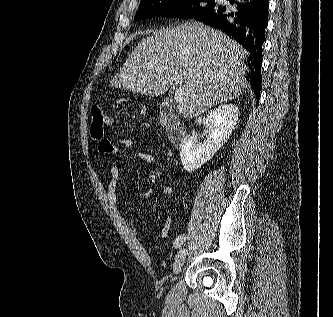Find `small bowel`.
<instances>
[{
	"mask_svg": "<svg viewBox=\"0 0 333 317\" xmlns=\"http://www.w3.org/2000/svg\"><path fill=\"white\" fill-rule=\"evenodd\" d=\"M130 145V140L128 139H121L117 142L108 140V139H100L98 142V151L102 154H108L112 152H116L120 150L122 147H127ZM132 161L135 162H142V163H153L155 161L154 155L145 152V151H137L135 152L132 157ZM120 167L118 165H113L110 169V182L108 186V196L111 201L116 202L117 201V188L120 178ZM163 194L164 196L171 201L174 195V189L170 185H166L163 187ZM123 206L125 208V211H127V201L123 199ZM171 221H172V210L169 209L166 213L165 220L163 223V226L160 229V236L163 238H166L169 235L170 227H171ZM130 226L133 228V230L137 233H139L138 228L136 227L133 220H129Z\"/></svg>",
	"mask_w": 333,
	"mask_h": 317,
	"instance_id": "small-bowel-1",
	"label": "small bowel"
}]
</instances>
